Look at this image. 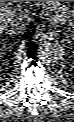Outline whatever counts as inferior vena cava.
Segmentation results:
<instances>
[{"instance_id":"602c4592","label":"inferior vena cava","mask_w":74,"mask_h":122,"mask_svg":"<svg viewBox=\"0 0 74 122\" xmlns=\"http://www.w3.org/2000/svg\"><path fill=\"white\" fill-rule=\"evenodd\" d=\"M8 21H9V24L13 28H15V29H17V30H19V31H21L23 33V31L28 26L30 18L25 13H16L13 16H11Z\"/></svg>"}]
</instances>
